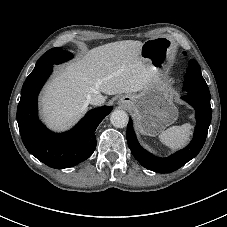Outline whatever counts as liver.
<instances>
[{
    "label": "liver",
    "instance_id": "liver-1",
    "mask_svg": "<svg viewBox=\"0 0 227 227\" xmlns=\"http://www.w3.org/2000/svg\"><path fill=\"white\" fill-rule=\"evenodd\" d=\"M142 46L134 40L108 43L59 70L40 99L48 126L64 130L73 125L87 111L89 94H131L156 82L159 71L142 60Z\"/></svg>",
    "mask_w": 227,
    "mask_h": 227
}]
</instances>
